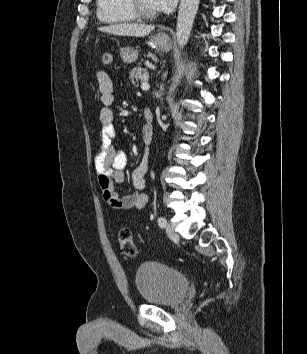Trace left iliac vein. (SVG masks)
<instances>
[{"mask_svg":"<svg viewBox=\"0 0 307 354\" xmlns=\"http://www.w3.org/2000/svg\"><path fill=\"white\" fill-rule=\"evenodd\" d=\"M166 234L173 241H177L179 239L178 234L175 232L173 226L170 224L166 225Z\"/></svg>","mask_w":307,"mask_h":354,"instance_id":"obj_1","label":"left iliac vein"}]
</instances>
